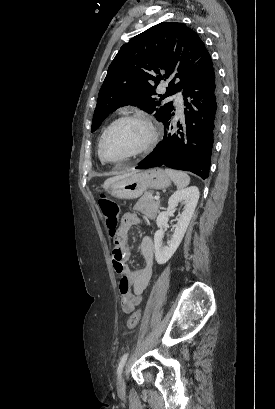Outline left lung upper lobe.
I'll use <instances>...</instances> for the list:
<instances>
[{"instance_id":"left-lung-upper-lobe-1","label":"left lung upper lobe","mask_w":275,"mask_h":409,"mask_svg":"<svg viewBox=\"0 0 275 409\" xmlns=\"http://www.w3.org/2000/svg\"><path fill=\"white\" fill-rule=\"evenodd\" d=\"M213 66L198 34L183 23L162 22L123 45L110 64L99 91L91 132L117 108L140 107L164 122L173 111L165 97L184 89ZM160 80L170 81L166 93H156Z\"/></svg>"}]
</instances>
